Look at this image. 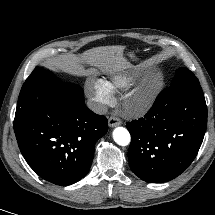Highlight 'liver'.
Segmentation results:
<instances>
[{
    "instance_id": "obj_1",
    "label": "liver",
    "mask_w": 215,
    "mask_h": 215,
    "mask_svg": "<svg viewBox=\"0 0 215 215\" xmlns=\"http://www.w3.org/2000/svg\"><path fill=\"white\" fill-rule=\"evenodd\" d=\"M123 53V46L96 47L70 60H55L54 64L71 74H81L86 64L99 68L103 73L116 74L130 67Z\"/></svg>"
}]
</instances>
